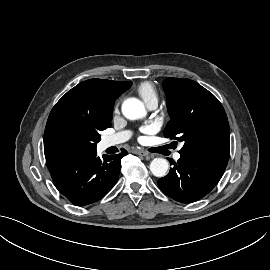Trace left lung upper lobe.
Instances as JSON below:
<instances>
[{
  "label": "left lung upper lobe",
  "mask_w": 270,
  "mask_h": 270,
  "mask_svg": "<svg viewBox=\"0 0 270 270\" xmlns=\"http://www.w3.org/2000/svg\"><path fill=\"white\" fill-rule=\"evenodd\" d=\"M163 88L171 118L164 135L184 143L179 153L228 161L229 123L218 99L197 82L186 78H167Z\"/></svg>",
  "instance_id": "5c2ea615"
}]
</instances>
